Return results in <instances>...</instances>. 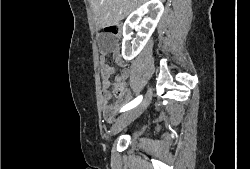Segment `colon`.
<instances>
[{"mask_svg": "<svg viewBox=\"0 0 250 169\" xmlns=\"http://www.w3.org/2000/svg\"><path fill=\"white\" fill-rule=\"evenodd\" d=\"M104 33L106 39L104 41V47L108 49L112 43L117 42L118 44L122 41V26L119 25H109L104 28ZM115 94L117 96L123 95V87L121 84L117 83L115 85Z\"/></svg>", "mask_w": 250, "mask_h": 169, "instance_id": "obj_1", "label": "colon"}]
</instances>
